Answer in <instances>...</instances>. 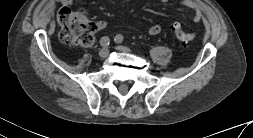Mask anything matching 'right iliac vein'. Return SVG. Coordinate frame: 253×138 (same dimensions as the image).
<instances>
[{"instance_id": "63e3f726", "label": "right iliac vein", "mask_w": 253, "mask_h": 138, "mask_svg": "<svg viewBox=\"0 0 253 138\" xmlns=\"http://www.w3.org/2000/svg\"><path fill=\"white\" fill-rule=\"evenodd\" d=\"M108 55H109V49L106 48V47L101 49L100 52H99V56L101 58H106V57H108Z\"/></svg>"}]
</instances>
